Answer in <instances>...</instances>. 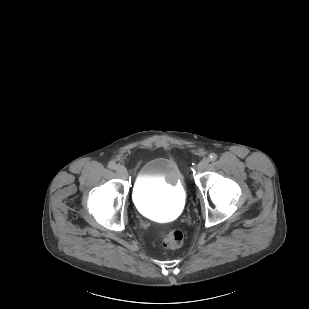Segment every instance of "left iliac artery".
Segmentation results:
<instances>
[{"mask_svg": "<svg viewBox=\"0 0 309 309\" xmlns=\"http://www.w3.org/2000/svg\"><path fill=\"white\" fill-rule=\"evenodd\" d=\"M209 161H215L217 159V155L215 153H211L208 156Z\"/></svg>", "mask_w": 309, "mask_h": 309, "instance_id": "44dca946", "label": "left iliac artery"}]
</instances>
